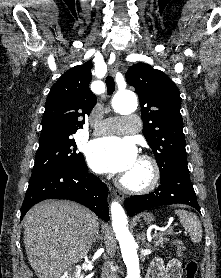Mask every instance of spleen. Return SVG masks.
I'll return each instance as SVG.
<instances>
[{"label":"spleen","mask_w":221,"mask_h":278,"mask_svg":"<svg viewBox=\"0 0 221 278\" xmlns=\"http://www.w3.org/2000/svg\"><path fill=\"white\" fill-rule=\"evenodd\" d=\"M180 218V223L184 229L189 233L190 239L193 243H200L202 240V227L198 217L191 212L183 209L175 210Z\"/></svg>","instance_id":"obj_1"}]
</instances>
